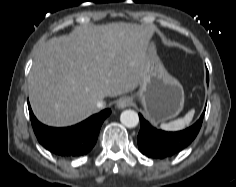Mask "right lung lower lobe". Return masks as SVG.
<instances>
[{
    "label": "right lung lower lobe",
    "mask_w": 236,
    "mask_h": 187,
    "mask_svg": "<svg viewBox=\"0 0 236 187\" xmlns=\"http://www.w3.org/2000/svg\"><path fill=\"white\" fill-rule=\"evenodd\" d=\"M30 119L39 143L58 156L74 158L86 155L94 147L101 125L111 113L105 109L83 122L65 128L48 127L34 116L28 103Z\"/></svg>",
    "instance_id": "obj_1"
}]
</instances>
